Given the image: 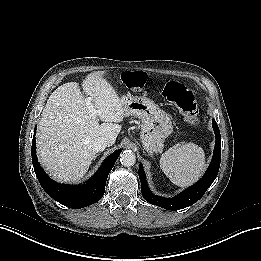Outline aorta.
<instances>
[{
    "label": "aorta",
    "instance_id": "aorta-1",
    "mask_svg": "<svg viewBox=\"0 0 261 261\" xmlns=\"http://www.w3.org/2000/svg\"><path fill=\"white\" fill-rule=\"evenodd\" d=\"M120 162L125 167H131L136 163V155L131 150H125L120 155Z\"/></svg>",
    "mask_w": 261,
    "mask_h": 261
}]
</instances>
